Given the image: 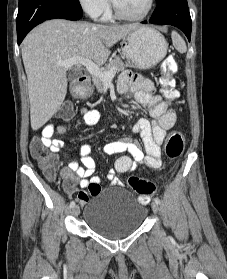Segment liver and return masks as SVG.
<instances>
[{"label":"liver","mask_w":227,"mask_h":279,"mask_svg":"<svg viewBox=\"0 0 227 279\" xmlns=\"http://www.w3.org/2000/svg\"><path fill=\"white\" fill-rule=\"evenodd\" d=\"M138 25H100L53 19L33 29L21 48L28 79L30 122L34 131L59 110L67 93V69L59 61L82 57L103 65L110 48Z\"/></svg>","instance_id":"liver-1"}]
</instances>
